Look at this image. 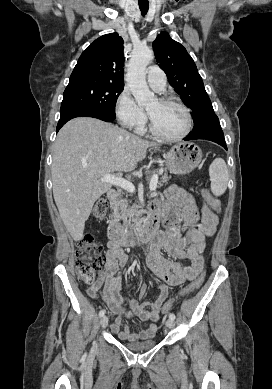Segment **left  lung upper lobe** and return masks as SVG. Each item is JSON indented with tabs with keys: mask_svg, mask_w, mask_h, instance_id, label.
Wrapping results in <instances>:
<instances>
[{
	"mask_svg": "<svg viewBox=\"0 0 272 389\" xmlns=\"http://www.w3.org/2000/svg\"><path fill=\"white\" fill-rule=\"evenodd\" d=\"M153 49L168 82L181 96L183 103L192 110L193 129L216 116L202 78L186 49L165 31L157 36Z\"/></svg>",
	"mask_w": 272,
	"mask_h": 389,
	"instance_id": "left-lung-upper-lobe-1",
	"label": "left lung upper lobe"
}]
</instances>
